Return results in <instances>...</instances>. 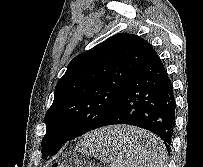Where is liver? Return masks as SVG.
<instances>
[{"label":"liver","mask_w":203,"mask_h":167,"mask_svg":"<svg viewBox=\"0 0 203 167\" xmlns=\"http://www.w3.org/2000/svg\"><path fill=\"white\" fill-rule=\"evenodd\" d=\"M107 134L110 139H117L126 145H129L132 150L127 149L125 146L121 147L126 149L133 157H137V150L140 151L147 140L153 137L145 130L129 126L112 127L108 130Z\"/></svg>","instance_id":"liver-1"}]
</instances>
